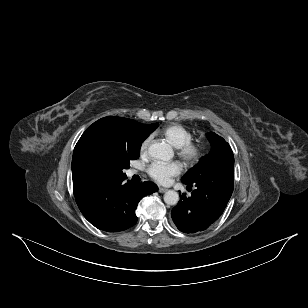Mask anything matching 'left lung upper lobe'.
I'll use <instances>...</instances> for the list:
<instances>
[{"label": "left lung upper lobe", "mask_w": 308, "mask_h": 308, "mask_svg": "<svg viewBox=\"0 0 308 308\" xmlns=\"http://www.w3.org/2000/svg\"><path fill=\"white\" fill-rule=\"evenodd\" d=\"M211 144V151L202 157L182 178V181H191L202 173L222 165L234 166V156L230 145L213 132L207 133Z\"/></svg>", "instance_id": "obj_1"}]
</instances>
